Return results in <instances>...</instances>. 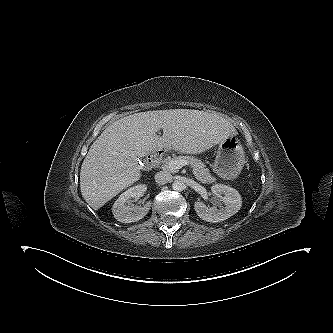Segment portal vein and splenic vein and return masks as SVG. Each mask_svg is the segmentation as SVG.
Returning <instances> with one entry per match:
<instances>
[{
  "label": "portal vein and splenic vein",
  "instance_id": "1",
  "mask_svg": "<svg viewBox=\"0 0 333 333\" xmlns=\"http://www.w3.org/2000/svg\"><path fill=\"white\" fill-rule=\"evenodd\" d=\"M168 165L170 169L176 170L182 168L185 165H188V162L185 160H172Z\"/></svg>",
  "mask_w": 333,
  "mask_h": 333
}]
</instances>
